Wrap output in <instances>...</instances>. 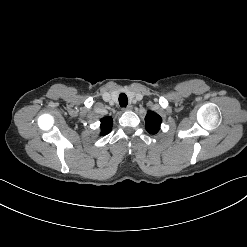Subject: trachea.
<instances>
[{
	"label": "trachea",
	"mask_w": 247,
	"mask_h": 247,
	"mask_svg": "<svg viewBox=\"0 0 247 247\" xmlns=\"http://www.w3.org/2000/svg\"><path fill=\"white\" fill-rule=\"evenodd\" d=\"M119 104L121 107H126L128 104V98L127 95L125 93H121L119 95Z\"/></svg>",
	"instance_id": "1"
}]
</instances>
